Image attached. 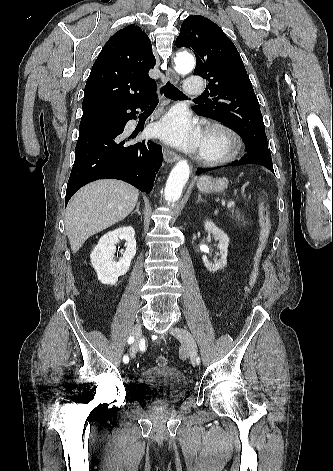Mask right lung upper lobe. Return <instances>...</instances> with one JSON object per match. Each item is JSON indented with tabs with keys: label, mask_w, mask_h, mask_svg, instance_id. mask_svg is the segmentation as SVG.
<instances>
[{
	"label": "right lung upper lobe",
	"mask_w": 333,
	"mask_h": 471,
	"mask_svg": "<svg viewBox=\"0 0 333 471\" xmlns=\"http://www.w3.org/2000/svg\"><path fill=\"white\" fill-rule=\"evenodd\" d=\"M155 66L151 42L145 32L129 25L104 45L86 82L81 120L133 104L156 90L148 72Z\"/></svg>",
	"instance_id": "right-lung-upper-lobe-1"
}]
</instances>
